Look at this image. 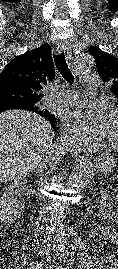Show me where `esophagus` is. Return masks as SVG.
Returning <instances> with one entry per match:
<instances>
[{
	"label": "esophagus",
	"instance_id": "34e87169",
	"mask_svg": "<svg viewBox=\"0 0 118 269\" xmlns=\"http://www.w3.org/2000/svg\"><path fill=\"white\" fill-rule=\"evenodd\" d=\"M56 51L58 53H61V52H65L66 53V57H67V60L70 62L71 59H72V56H71V53L69 51V47L67 46V44L64 42V41H61L60 43H58L57 47H56ZM89 156V152L86 150V149H81V148H78L75 150L74 152V157L77 159V160H84L86 159L87 157Z\"/></svg>",
	"mask_w": 118,
	"mask_h": 269
}]
</instances>
